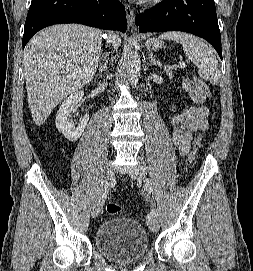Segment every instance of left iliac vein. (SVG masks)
I'll use <instances>...</instances> for the list:
<instances>
[{"label":"left iliac vein","mask_w":253,"mask_h":271,"mask_svg":"<svg viewBox=\"0 0 253 271\" xmlns=\"http://www.w3.org/2000/svg\"><path fill=\"white\" fill-rule=\"evenodd\" d=\"M144 166V163L139 160L138 165L130 170V177L135 180L142 181L144 179ZM147 223L150 230L153 232H157L159 230V222L155 215L150 213L147 217Z\"/></svg>","instance_id":"4c4485c4"}]
</instances>
